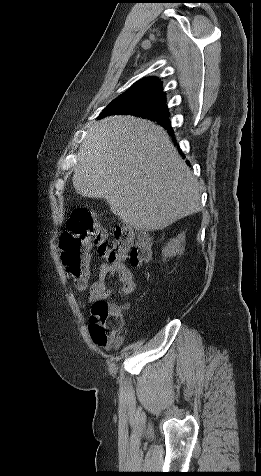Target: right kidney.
<instances>
[{"label": "right kidney", "instance_id": "1", "mask_svg": "<svg viewBox=\"0 0 261 476\" xmlns=\"http://www.w3.org/2000/svg\"><path fill=\"white\" fill-rule=\"evenodd\" d=\"M185 241V234H179L176 238L171 239L170 242L163 248L162 256L164 260L166 258L173 257L175 255H181L184 251L183 243Z\"/></svg>", "mask_w": 261, "mask_h": 476}]
</instances>
